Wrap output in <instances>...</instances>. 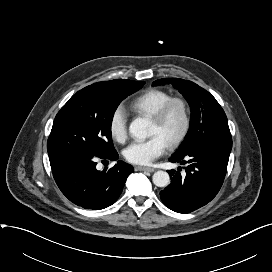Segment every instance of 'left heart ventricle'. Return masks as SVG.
<instances>
[{"instance_id":"b2bd125f","label":"left heart ventricle","mask_w":272,"mask_h":272,"mask_svg":"<svg viewBox=\"0 0 272 272\" xmlns=\"http://www.w3.org/2000/svg\"><path fill=\"white\" fill-rule=\"evenodd\" d=\"M183 124L181 109L172 107L162 122L156 123L151 120L149 134L160 135L168 144L180 132Z\"/></svg>"}]
</instances>
